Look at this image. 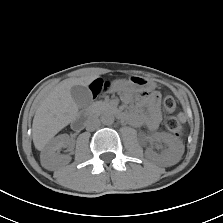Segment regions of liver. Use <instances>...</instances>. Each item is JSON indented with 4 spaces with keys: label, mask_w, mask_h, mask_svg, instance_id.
I'll list each match as a JSON object with an SVG mask.
<instances>
[{
    "label": "liver",
    "mask_w": 223,
    "mask_h": 223,
    "mask_svg": "<svg viewBox=\"0 0 223 223\" xmlns=\"http://www.w3.org/2000/svg\"><path fill=\"white\" fill-rule=\"evenodd\" d=\"M98 77L88 75L63 80L43 99L32 124L33 143L37 150H44L59 131L75 120L79 108L71 96V88L75 85L88 86Z\"/></svg>",
    "instance_id": "6515ba94"
}]
</instances>
